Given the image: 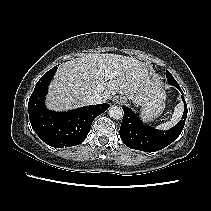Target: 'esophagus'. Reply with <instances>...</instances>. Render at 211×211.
I'll return each mask as SVG.
<instances>
[{
    "label": "esophagus",
    "instance_id": "34e87169",
    "mask_svg": "<svg viewBox=\"0 0 211 211\" xmlns=\"http://www.w3.org/2000/svg\"><path fill=\"white\" fill-rule=\"evenodd\" d=\"M124 101L125 100L123 97H115L114 98V103H116V104H122Z\"/></svg>",
    "mask_w": 211,
    "mask_h": 211
}]
</instances>
